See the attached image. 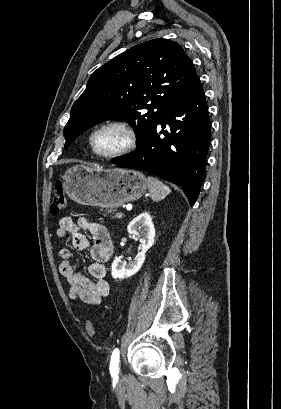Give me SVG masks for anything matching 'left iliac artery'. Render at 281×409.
I'll list each match as a JSON object with an SVG mask.
<instances>
[{
    "mask_svg": "<svg viewBox=\"0 0 281 409\" xmlns=\"http://www.w3.org/2000/svg\"><path fill=\"white\" fill-rule=\"evenodd\" d=\"M110 373L114 378H117L119 373V349L116 348L111 355Z\"/></svg>",
    "mask_w": 281,
    "mask_h": 409,
    "instance_id": "left-iliac-artery-1",
    "label": "left iliac artery"
}]
</instances>
